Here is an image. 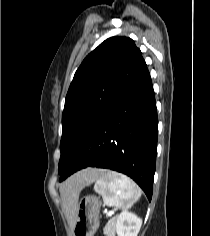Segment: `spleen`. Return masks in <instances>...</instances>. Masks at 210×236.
I'll list each match as a JSON object with an SVG mask.
<instances>
[{
	"instance_id": "1",
	"label": "spleen",
	"mask_w": 210,
	"mask_h": 236,
	"mask_svg": "<svg viewBox=\"0 0 210 236\" xmlns=\"http://www.w3.org/2000/svg\"><path fill=\"white\" fill-rule=\"evenodd\" d=\"M94 190L105 205L119 209L131 208L141 197V190L132 179L114 171H104L96 179Z\"/></svg>"
}]
</instances>
